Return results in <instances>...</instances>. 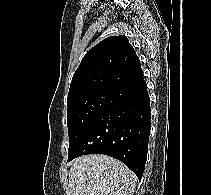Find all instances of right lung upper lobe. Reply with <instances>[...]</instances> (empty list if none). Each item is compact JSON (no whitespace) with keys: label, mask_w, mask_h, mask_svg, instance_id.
Instances as JSON below:
<instances>
[{"label":"right lung upper lobe","mask_w":211,"mask_h":195,"mask_svg":"<svg viewBox=\"0 0 211 195\" xmlns=\"http://www.w3.org/2000/svg\"><path fill=\"white\" fill-rule=\"evenodd\" d=\"M143 78L140 60L126 36H110L83 57L68 97L91 89L115 88Z\"/></svg>","instance_id":"cb5924a9"}]
</instances>
